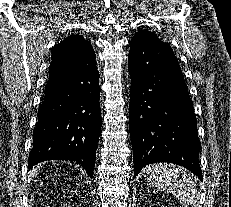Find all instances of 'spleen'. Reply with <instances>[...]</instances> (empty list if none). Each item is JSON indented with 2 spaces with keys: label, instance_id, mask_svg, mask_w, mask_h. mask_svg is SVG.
I'll list each match as a JSON object with an SVG mask.
<instances>
[{
  "label": "spleen",
  "instance_id": "obj_1",
  "mask_svg": "<svg viewBox=\"0 0 231 207\" xmlns=\"http://www.w3.org/2000/svg\"><path fill=\"white\" fill-rule=\"evenodd\" d=\"M144 173L150 185L171 193L184 207L196 204V184L186 170L172 164H153L146 166Z\"/></svg>",
  "mask_w": 231,
  "mask_h": 207
}]
</instances>
